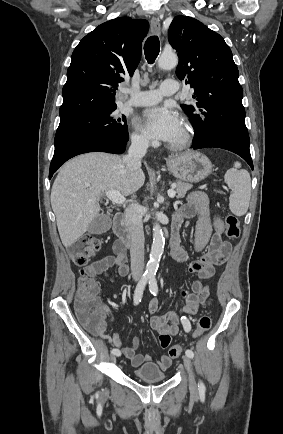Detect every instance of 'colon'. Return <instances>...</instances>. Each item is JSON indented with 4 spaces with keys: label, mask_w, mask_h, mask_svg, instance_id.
<instances>
[{
    "label": "colon",
    "mask_w": 283,
    "mask_h": 434,
    "mask_svg": "<svg viewBox=\"0 0 283 434\" xmlns=\"http://www.w3.org/2000/svg\"><path fill=\"white\" fill-rule=\"evenodd\" d=\"M226 234L230 238H237L241 228L238 218L228 215L225 220ZM100 248V241L91 235H85L76 240L70 247L69 253L73 263L84 267L97 253ZM99 287L86 269L80 270L78 278V289L75 301V309L80 322L93 333L101 331L104 321L102 305L99 300ZM212 320L208 313L202 314L193 331V337H199L211 327ZM182 348L174 345L169 349V356L177 358L181 355Z\"/></svg>",
    "instance_id": "colon-1"
}]
</instances>
